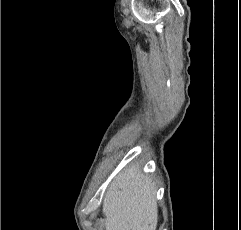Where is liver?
I'll use <instances>...</instances> for the list:
<instances>
[{
	"instance_id": "6515ba94",
	"label": "liver",
	"mask_w": 241,
	"mask_h": 230,
	"mask_svg": "<svg viewBox=\"0 0 241 230\" xmlns=\"http://www.w3.org/2000/svg\"><path fill=\"white\" fill-rule=\"evenodd\" d=\"M102 212L106 230H156L158 208L148 176L128 168L108 187Z\"/></svg>"
}]
</instances>
